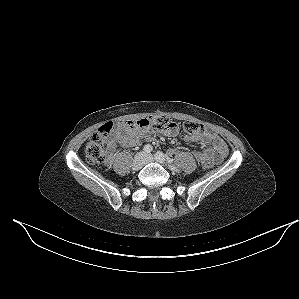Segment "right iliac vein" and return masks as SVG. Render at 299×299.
Returning a JSON list of instances; mask_svg holds the SVG:
<instances>
[{
    "mask_svg": "<svg viewBox=\"0 0 299 299\" xmlns=\"http://www.w3.org/2000/svg\"><path fill=\"white\" fill-rule=\"evenodd\" d=\"M145 164V155L143 153H138L133 159L132 169L134 171L140 170Z\"/></svg>",
    "mask_w": 299,
    "mask_h": 299,
    "instance_id": "1",
    "label": "right iliac vein"
}]
</instances>
